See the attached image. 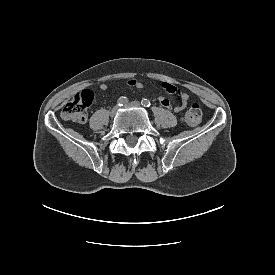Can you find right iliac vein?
<instances>
[{"instance_id": "obj_1", "label": "right iliac vein", "mask_w": 275, "mask_h": 275, "mask_svg": "<svg viewBox=\"0 0 275 275\" xmlns=\"http://www.w3.org/2000/svg\"><path fill=\"white\" fill-rule=\"evenodd\" d=\"M118 109L119 108L117 106L113 107L112 110H111V112H110V115L112 117L115 116L117 114V112H118Z\"/></svg>"}]
</instances>
